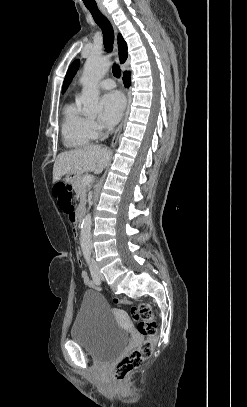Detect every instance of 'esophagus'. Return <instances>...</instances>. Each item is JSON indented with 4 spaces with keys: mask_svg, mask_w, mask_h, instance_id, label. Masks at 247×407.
<instances>
[{
    "mask_svg": "<svg viewBox=\"0 0 247 407\" xmlns=\"http://www.w3.org/2000/svg\"><path fill=\"white\" fill-rule=\"evenodd\" d=\"M100 10H101V12L104 14V16L111 22V24H112V26H113L114 33H115L114 56H115V60H116L117 62H119L118 48H117V41H116V38H117V29H116L115 25L113 24V21H112L110 15L108 14V12H107L103 7H100ZM130 100H131L130 94H129V92L127 91V104H126V109H125L123 118H122V120H121L119 126L117 127V129H116V131H115V133H114L113 139H112V141H111V147H114V146L116 145V143H117L118 136H119V134H120V132H121V130H122V127H123L124 122H125L126 117H127V112H128V107H129V104H130Z\"/></svg>",
    "mask_w": 247,
    "mask_h": 407,
    "instance_id": "esophagus-1",
    "label": "esophagus"
}]
</instances>
